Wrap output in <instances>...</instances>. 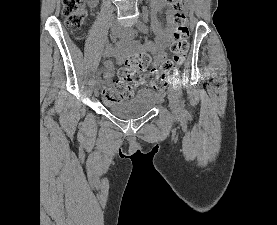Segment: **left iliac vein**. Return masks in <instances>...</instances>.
Here are the masks:
<instances>
[{
	"mask_svg": "<svg viewBox=\"0 0 277 225\" xmlns=\"http://www.w3.org/2000/svg\"><path fill=\"white\" fill-rule=\"evenodd\" d=\"M137 33V30L132 27L125 29L124 32L125 36H130L131 38H134ZM168 99L173 115L178 116L181 112L180 97L174 84L168 88Z\"/></svg>",
	"mask_w": 277,
	"mask_h": 225,
	"instance_id": "obj_1",
	"label": "left iliac vein"
}]
</instances>
